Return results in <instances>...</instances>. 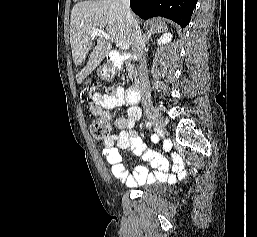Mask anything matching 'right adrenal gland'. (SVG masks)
<instances>
[{"mask_svg": "<svg viewBox=\"0 0 257 237\" xmlns=\"http://www.w3.org/2000/svg\"><path fill=\"white\" fill-rule=\"evenodd\" d=\"M155 34H157L156 31H153V30L148 31L147 34H144V40H145L146 42H148V41H149V38H150V37H153Z\"/></svg>", "mask_w": 257, "mask_h": 237, "instance_id": "1", "label": "right adrenal gland"}]
</instances>
